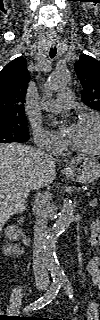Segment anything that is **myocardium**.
<instances>
[{"label": "myocardium", "instance_id": "1", "mask_svg": "<svg viewBox=\"0 0 100 320\" xmlns=\"http://www.w3.org/2000/svg\"><path fill=\"white\" fill-rule=\"evenodd\" d=\"M87 120H94L98 124V143H97V146L93 149H82V148H79V147L73 145L72 143H70V141H67L66 145L70 150H72L76 153L83 154V155H96L100 152V117L97 114L85 113L77 119L76 123H81V122H84Z\"/></svg>", "mask_w": 100, "mask_h": 320}]
</instances>
